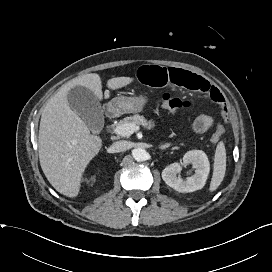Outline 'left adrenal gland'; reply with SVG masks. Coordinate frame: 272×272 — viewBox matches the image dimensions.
I'll list each match as a JSON object with an SVG mask.
<instances>
[{"label": "left adrenal gland", "instance_id": "a2214340", "mask_svg": "<svg viewBox=\"0 0 272 272\" xmlns=\"http://www.w3.org/2000/svg\"><path fill=\"white\" fill-rule=\"evenodd\" d=\"M170 146V144H166V145H161V146H159V149H166L167 147H169Z\"/></svg>", "mask_w": 272, "mask_h": 272}]
</instances>
